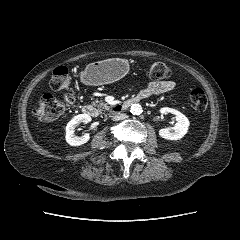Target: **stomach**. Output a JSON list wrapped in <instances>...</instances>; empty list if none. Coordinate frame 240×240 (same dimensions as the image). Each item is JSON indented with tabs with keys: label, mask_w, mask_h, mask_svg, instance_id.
<instances>
[{
	"label": "stomach",
	"mask_w": 240,
	"mask_h": 240,
	"mask_svg": "<svg viewBox=\"0 0 240 240\" xmlns=\"http://www.w3.org/2000/svg\"><path fill=\"white\" fill-rule=\"evenodd\" d=\"M128 65L121 59H106L86 66L82 73L83 80L90 85L113 83L127 73Z\"/></svg>",
	"instance_id": "stomach-1"
}]
</instances>
